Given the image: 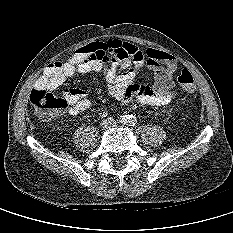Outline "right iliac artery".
<instances>
[{
    "label": "right iliac artery",
    "mask_w": 233,
    "mask_h": 233,
    "mask_svg": "<svg viewBox=\"0 0 233 233\" xmlns=\"http://www.w3.org/2000/svg\"><path fill=\"white\" fill-rule=\"evenodd\" d=\"M127 117H128L127 115L120 116L119 122H120V123H126V122H127V119H128Z\"/></svg>",
    "instance_id": "82829eb1"
}]
</instances>
